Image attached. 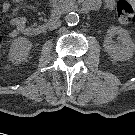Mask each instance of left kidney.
<instances>
[{"label":"left kidney","instance_id":"left-kidney-1","mask_svg":"<svg viewBox=\"0 0 135 135\" xmlns=\"http://www.w3.org/2000/svg\"><path fill=\"white\" fill-rule=\"evenodd\" d=\"M114 35H118L121 44H114L112 40ZM103 47L109 56L116 61H126L132 58L135 51V43L132 41L128 31L119 26H111L107 30Z\"/></svg>","mask_w":135,"mask_h":135}]
</instances>
